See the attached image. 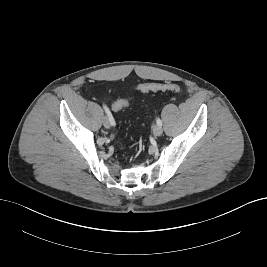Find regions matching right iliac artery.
<instances>
[{"label": "right iliac artery", "mask_w": 267, "mask_h": 267, "mask_svg": "<svg viewBox=\"0 0 267 267\" xmlns=\"http://www.w3.org/2000/svg\"><path fill=\"white\" fill-rule=\"evenodd\" d=\"M103 108H104V110H105V112H106V114H107V117H108V119H109L111 125H114V124H115V121H114V119H113V116H112L110 110L108 109V107H107L105 104L103 105Z\"/></svg>", "instance_id": "right-iliac-artery-1"}]
</instances>
